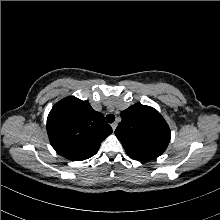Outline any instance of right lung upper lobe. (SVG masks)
<instances>
[{
    "mask_svg": "<svg viewBox=\"0 0 220 220\" xmlns=\"http://www.w3.org/2000/svg\"><path fill=\"white\" fill-rule=\"evenodd\" d=\"M47 132L58 154L81 161L97 153L112 128L87 100L69 96L53 106L47 119Z\"/></svg>",
    "mask_w": 220,
    "mask_h": 220,
    "instance_id": "obj_1",
    "label": "right lung upper lobe"
}]
</instances>
